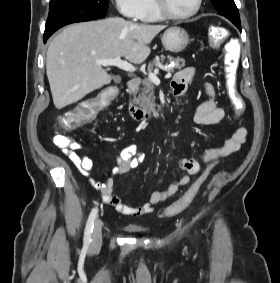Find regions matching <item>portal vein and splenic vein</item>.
I'll return each mask as SVG.
<instances>
[{
	"label": "portal vein and splenic vein",
	"instance_id": "portal-vein-and-splenic-vein-1",
	"mask_svg": "<svg viewBox=\"0 0 280 283\" xmlns=\"http://www.w3.org/2000/svg\"><path fill=\"white\" fill-rule=\"evenodd\" d=\"M96 63L99 64V65H102L104 67H106V66H116L120 69H123V70H125L127 72H131V73L136 71V68L132 64L128 63L127 61H123L121 59V57H115L113 59L97 60ZM158 72H159V69H155L153 73L149 74V79L153 83H159L160 82L159 78L157 77Z\"/></svg>",
	"mask_w": 280,
	"mask_h": 283
}]
</instances>
